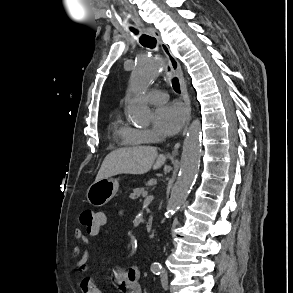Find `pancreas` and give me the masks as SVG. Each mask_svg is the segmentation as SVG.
<instances>
[{"label": "pancreas", "instance_id": "pancreas-1", "mask_svg": "<svg viewBox=\"0 0 293 293\" xmlns=\"http://www.w3.org/2000/svg\"><path fill=\"white\" fill-rule=\"evenodd\" d=\"M144 192H146L144 188H134L133 192L129 195V198L137 200Z\"/></svg>", "mask_w": 293, "mask_h": 293}]
</instances>
